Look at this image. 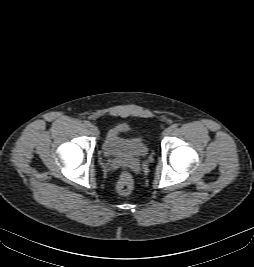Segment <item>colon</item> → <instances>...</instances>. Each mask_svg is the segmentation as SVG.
<instances>
[{
    "label": "colon",
    "mask_w": 254,
    "mask_h": 267,
    "mask_svg": "<svg viewBox=\"0 0 254 267\" xmlns=\"http://www.w3.org/2000/svg\"><path fill=\"white\" fill-rule=\"evenodd\" d=\"M133 186H134V181L132 174L127 170L123 171L120 174L118 181L116 183L117 193L120 195H127L132 191Z\"/></svg>",
    "instance_id": "colon-1"
}]
</instances>
